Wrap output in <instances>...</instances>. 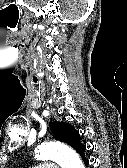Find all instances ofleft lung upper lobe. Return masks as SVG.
Segmentation results:
<instances>
[{"label": "left lung upper lobe", "instance_id": "obj_1", "mask_svg": "<svg viewBox=\"0 0 127 168\" xmlns=\"http://www.w3.org/2000/svg\"><path fill=\"white\" fill-rule=\"evenodd\" d=\"M50 130L55 139L71 145L75 150L80 146L79 132L66 122H50Z\"/></svg>", "mask_w": 127, "mask_h": 168}]
</instances>
